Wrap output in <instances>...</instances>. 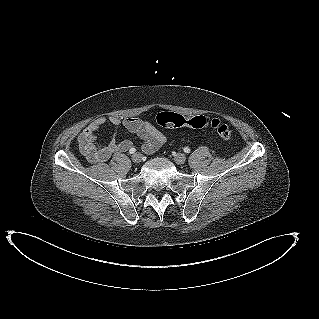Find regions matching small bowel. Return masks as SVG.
I'll return each mask as SVG.
<instances>
[{
  "label": "small bowel",
  "instance_id": "obj_1",
  "mask_svg": "<svg viewBox=\"0 0 319 319\" xmlns=\"http://www.w3.org/2000/svg\"><path fill=\"white\" fill-rule=\"evenodd\" d=\"M106 123L115 128L123 127L128 132L133 133L142 141L141 150L145 154H151L158 150L167 142V136L159 131L149 121L129 117L121 120L116 116L98 117L92 121L78 136L81 153L91 163H104L112 155L125 153L133 148V142L129 139L117 141L113 138L107 145H99L97 142V132Z\"/></svg>",
  "mask_w": 319,
  "mask_h": 319
}]
</instances>
